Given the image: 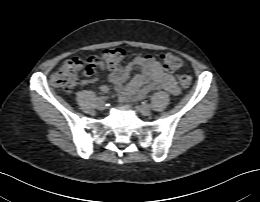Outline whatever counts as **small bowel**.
Wrapping results in <instances>:
<instances>
[{
  "mask_svg": "<svg viewBox=\"0 0 260 202\" xmlns=\"http://www.w3.org/2000/svg\"><path fill=\"white\" fill-rule=\"evenodd\" d=\"M134 71L138 73L131 77ZM85 75L87 79L81 82V86L93 84L99 80L96 71L87 72ZM108 78L122 102L143 99L158 89H164L172 95L179 94L175 78L166 73L151 55L137 56L121 67L110 68ZM98 90L107 93L109 87L100 85Z\"/></svg>",
  "mask_w": 260,
  "mask_h": 202,
  "instance_id": "small-bowel-1",
  "label": "small bowel"
}]
</instances>
